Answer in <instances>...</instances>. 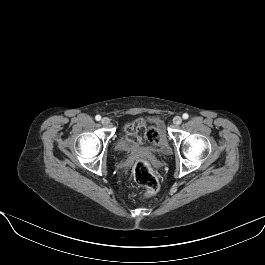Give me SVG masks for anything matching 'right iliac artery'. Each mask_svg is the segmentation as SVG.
Instances as JSON below:
<instances>
[{
    "label": "right iliac artery",
    "instance_id": "1",
    "mask_svg": "<svg viewBox=\"0 0 265 265\" xmlns=\"http://www.w3.org/2000/svg\"><path fill=\"white\" fill-rule=\"evenodd\" d=\"M95 119H96L97 121H100V120H101V116H100V115H96Z\"/></svg>",
    "mask_w": 265,
    "mask_h": 265
}]
</instances>
